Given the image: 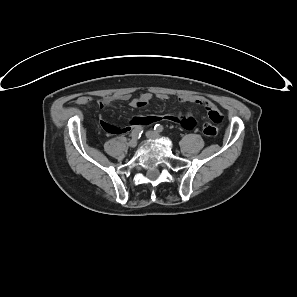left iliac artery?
<instances>
[{
	"label": "left iliac artery",
	"instance_id": "left-iliac-artery-1",
	"mask_svg": "<svg viewBox=\"0 0 297 297\" xmlns=\"http://www.w3.org/2000/svg\"><path fill=\"white\" fill-rule=\"evenodd\" d=\"M154 129L156 130V131H162L163 130V127L162 126H160L159 124H157L155 127H154Z\"/></svg>",
	"mask_w": 297,
	"mask_h": 297
}]
</instances>
